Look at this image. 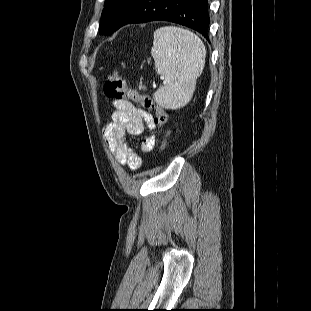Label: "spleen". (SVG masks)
<instances>
[{"label":"spleen","mask_w":311,"mask_h":311,"mask_svg":"<svg viewBox=\"0 0 311 311\" xmlns=\"http://www.w3.org/2000/svg\"><path fill=\"white\" fill-rule=\"evenodd\" d=\"M151 55L157 74L165 76L164 86L153 94L154 100L165 109L187 105L205 64L206 49L201 39L187 29L161 27L154 32ZM139 89L145 87L139 85Z\"/></svg>","instance_id":"3e777b00"}]
</instances>
